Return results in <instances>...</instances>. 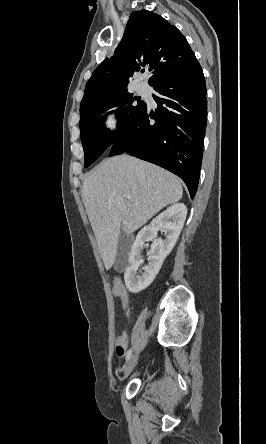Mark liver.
I'll return each mask as SVG.
<instances>
[{
    "label": "liver",
    "instance_id": "6515ba94",
    "mask_svg": "<svg viewBox=\"0 0 266 444\" xmlns=\"http://www.w3.org/2000/svg\"><path fill=\"white\" fill-rule=\"evenodd\" d=\"M182 195L173 174L125 154L95 167L83 183L82 198L106 270L115 263L121 230L133 233Z\"/></svg>",
    "mask_w": 266,
    "mask_h": 444
}]
</instances>
